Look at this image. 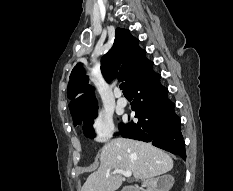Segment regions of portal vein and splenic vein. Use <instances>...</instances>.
Instances as JSON below:
<instances>
[{"instance_id":"1","label":"portal vein and splenic vein","mask_w":233,"mask_h":191,"mask_svg":"<svg viewBox=\"0 0 233 191\" xmlns=\"http://www.w3.org/2000/svg\"><path fill=\"white\" fill-rule=\"evenodd\" d=\"M113 174H122L125 177L129 178L131 177L132 172L130 170L124 171V170L117 169L113 171Z\"/></svg>"}]
</instances>
